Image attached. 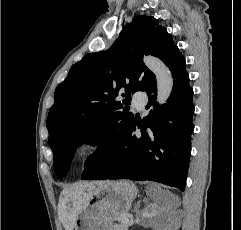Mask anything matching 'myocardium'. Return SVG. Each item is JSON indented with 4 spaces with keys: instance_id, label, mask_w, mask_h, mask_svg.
Segmentation results:
<instances>
[{
    "instance_id": "obj_1",
    "label": "myocardium",
    "mask_w": 241,
    "mask_h": 230,
    "mask_svg": "<svg viewBox=\"0 0 241 230\" xmlns=\"http://www.w3.org/2000/svg\"><path fill=\"white\" fill-rule=\"evenodd\" d=\"M102 142L95 137H84L77 140L70 148L69 159L73 163H79L94 157L102 150Z\"/></svg>"
}]
</instances>
